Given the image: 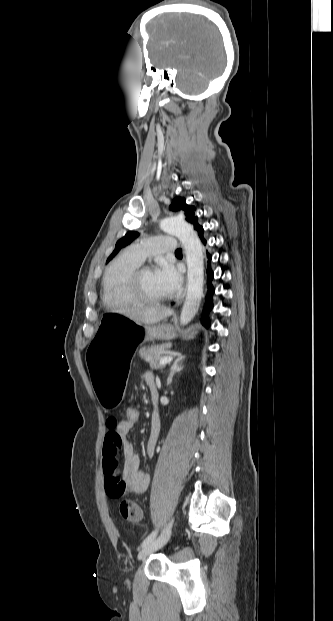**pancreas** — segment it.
Here are the masks:
<instances>
[{
    "mask_svg": "<svg viewBox=\"0 0 333 621\" xmlns=\"http://www.w3.org/2000/svg\"><path fill=\"white\" fill-rule=\"evenodd\" d=\"M171 344H162V345H151L144 346L140 348L139 355L146 362L150 363L155 368L163 369V365H158V362L161 358L174 354V352L170 351Z\"/></svg>",
    "mask_w": 333,
    "mask_h": 621,
    "instance_id": "obj_1",
    "label": "pancreas"
}]
</instances>
